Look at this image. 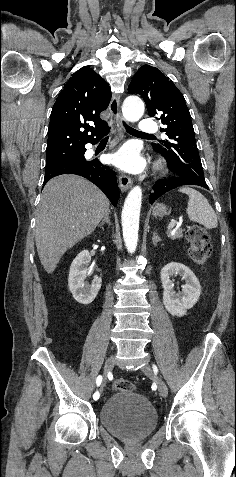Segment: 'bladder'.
Segmentation results:
<instances>
[{"label":"bladder","mask_w":236,"mask_h":477,"mask_svg":"<svg viewBox=\"0 0 236 477\" xmlns=\"http://www.w3.org/2000/svg\"><path fill=\"white\" fill-rule=\"evenodd\" d=\"M103 427L113 436L124 440H141L156 429L158 415L142 394L117 391L108 397L99 409Z\"/></svg>","instance_id":"1"}]
</instances>
